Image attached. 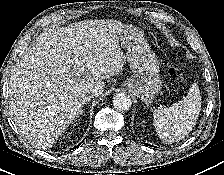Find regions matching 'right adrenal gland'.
I'll return each mask as SVG.
<instances>
[{
    "label": "right adrenal gland",
    "mask_w": 224,
    "mask_h": 175,
    "mask_svg": "<svg viewBox=\"0 0 224 175\" xmlns=\"http://www.w3.org/2000/svg\"><path fill=\"white\" fill-rule=\"evenodd\" d=\"M82 107H83V106H82ZM80 115H83V110H82V109H81V111H80L78 117H80Z\"/></svg>",
    "instance_id": "2a0ac1e0"
}]
</instances>
